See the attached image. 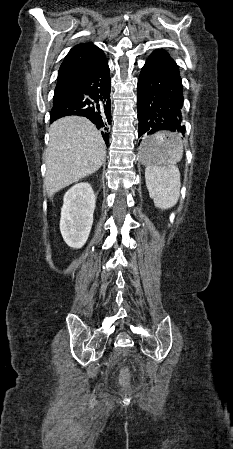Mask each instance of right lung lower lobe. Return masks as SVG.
<instances>
[{
  "mask_svg": "<svg viewBox=\"0 0 233 449\" xmlns=\"http://www.w3.org/2000/svg\"><path fill=\"white\" fill-rule=\"evenodd\" d=\"M110 70L107 60L81 79L61 88L62 96L54 100L51 123L69 115L87 117L108 145V125L111 124Z\"/></svg>",
  "mask_w": 233,
  "mask_h": 449,
  "instance_id": "1",
  "label": "right lung lower lobe"
}]
</instances>
